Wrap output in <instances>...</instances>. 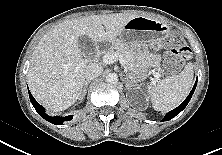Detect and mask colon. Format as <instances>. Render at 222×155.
Returning <instances> with one entry per match:
<instances>
[{
    "instance_id": "1",
    "label": "colon",
    "mask_w": 222,
    "mask_h": 155,
    "mask_svg": "<svg viewBox=\"0 0 222 155\" xmlns=\"http://www.w3.org/2000/svg\"><path fill=\"white\" fill-rule=\"evenodd\" d=\"M192 56L191 49L180 36H173L168 42V51L164 55V70L169 74H175Z\"/></svg>"
}]
</instances>
